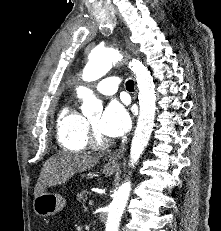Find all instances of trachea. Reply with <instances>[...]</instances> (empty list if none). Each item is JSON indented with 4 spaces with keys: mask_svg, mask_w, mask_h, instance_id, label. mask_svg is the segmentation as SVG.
<instances>
[{
    "mask_svg": "<svg viewBox=\"0 0 221 231\" xmlns=\"http://www.w3.org/2000/svg\"><path fill=\"white\" fill-rule=\"evenodd\" d=\"M126 89L128 91H133L134 90V82H133V80H128L126 82Z\"/></svg>",
    "mask_w": 221,
    "mask_h": 231,
    "instance_id": "3493384b",
    "label": "trachea"
}]
</instances>
